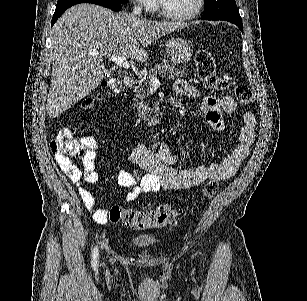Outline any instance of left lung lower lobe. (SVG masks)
Wrapping results in <instances>:
<instances>
[{"label":"left lung lower lobe","mask_w":307,"mask_h":301,"mask_svg":"<svg viewBox=\"0 0 307 301\" xmlns=\"http://www.w3.org/2000/svg\"><path fill=\"white\" fill-rule=\"evenodd\" d=\"M230 22V21H229ZM234 23L236 26L239 27V29L242 31L243 33V25H242V21H236V22H231Z\"/></svg>","instance_id":"left-lung-lower-lobe-1"}]
</instances>
